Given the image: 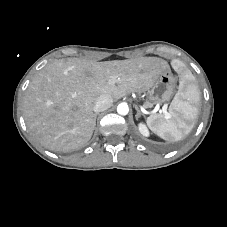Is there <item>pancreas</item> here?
Segmentation results:
<instances>
[{"label":"pancreas","instance_id":"1","mask_svg":"<svg viewBox=\"0 0 227 227\" xmlns=\"http://www.w3.org/2000/svg\"><path fill=\"white\" fill-rule=\"evenodd\" d=\"M151 106H152V103H150V102L145 103V107H151Z\"/></svg>","mask_w":227,"mask_h":227}]
</instances>
